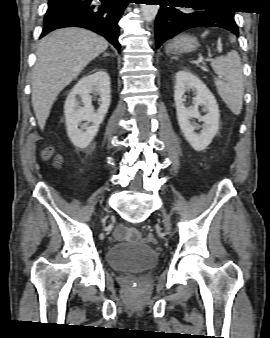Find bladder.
<instances>
[{"label":"bladder","instance_id":"obj_1","mask_svg":"<svg viewBox=\"0 0 270 338\" xmlns=\"http://www.w3.org/2000/svg\"><path fill=\"white\" fill-rule=\"evenodd\" d=\"M158 262V253L142 242L114 243L108 250L109 266L119 272H139L152 269Z\"/></svg>","mask_w":270,"mask_h":338}]
</instances>
